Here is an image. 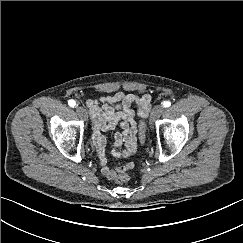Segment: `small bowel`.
I'll return each mask as SVG.
<instances>
[{
    "label": "small bowel",
    "mask_w": 243,
    "mask_h": 243,
    "mask_svg": "<svg viewBox=\"0 0 243 243\" xmlns=\"http://www.w3.org/2000/svg\"><path fill=\"white\" fill-rule=\"evenodd\" d=\"M86 105L94 122L92 141L101 164V173L107 179L115 180L119 170L107 166L104 133L121 127V132L113 134L115 144L111 153L116 158L132 156L136 152L138 140L141 141L135 118L147 117L151 109V95L118 92L111 96L89 99ZM132 105L136 106V111L131 108Z\"/></svg>",
    "instance_id": "1"
}]
</instances>
